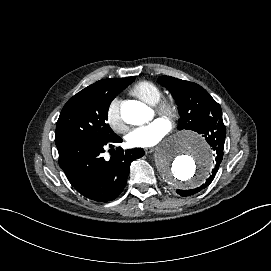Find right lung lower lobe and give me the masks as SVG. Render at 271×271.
<instances>
[{"mask_svg": "<svg viewBox=\"0 0 271 271\" xmlns=\"http://www.w3.org/2000/svg\"><path fill=\"white\" fill-rule=\"evenodd\" d=\"M116 134L108 139L78 138L59 146V165L73 187L84 197L109 202L123 191L133 160L142 157L143 149L123 151L118 148L109 160L102 157L106 145L120 143Z\"/></svg>", "mask_w": 271, "mask_h": 271, "instance_id": "98d812e1", "label": "right lung lower lobe"}]
</instances>
